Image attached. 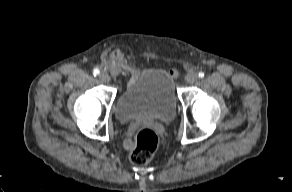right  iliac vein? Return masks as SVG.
Wrapping results in <instances>:
<instances>
[{
  "label": "right iliac vein",
  "mask_w": 292,
  "mask_h": 192,
  "mask_svg": "<svg viewBox=\"0 0 292 192\" xmlns=\"http://www.w3.org/2000/svg\"><path fill=\"white\" fill-rule=\"evenodd\" d=\"M99 77H100V80L104 83H108L110 81L109 75L105 72H102Z\"/></svg>",
  "instance_id": "1"
}]
</instances>
